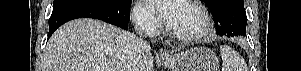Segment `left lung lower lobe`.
Instances as JSON below:
<instances>
[{
	"instance_id": "0a47b994",
	"label": "left lung lower lobe",
	"mask_w": 301,
	"mask_h": 71,
	"mask_svg": "<svg viewBox=\"0 0 301 71\" xmlns=\"http://www.w3.org/2000/svg\"><path fill=\"white\" fill-rule=\"evenodd\" d=\"M216 33L219 36L235 37L246 35L247 17L244 7L226 5L213 15Z\"/></svg>"
}]
</instances>
